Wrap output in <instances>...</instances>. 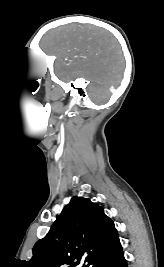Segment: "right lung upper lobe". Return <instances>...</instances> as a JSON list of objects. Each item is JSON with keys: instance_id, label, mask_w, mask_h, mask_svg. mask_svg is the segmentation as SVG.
<instances>
[{"instance_id": "right-lung-upper-lobe-1", "label": "right lung upper lobe", "mask_w": 164, "mask_h": 267, "mask_svg": "<svg viewBox=\"0 0 164 267\" xmlns=\"http://www.w3.org/2000/svg\"><path fill=\"white\" fill-rule=\"evenodd\" d=\"M113 221L98 203L74 196L53 223L48 234L33 247L30 267H82L94 265L121 249Z\"/></svg>"}]
</instances>
